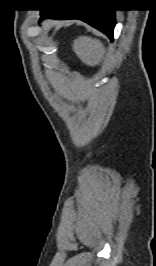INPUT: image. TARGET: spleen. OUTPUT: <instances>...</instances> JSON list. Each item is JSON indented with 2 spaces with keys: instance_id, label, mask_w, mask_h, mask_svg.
<instances>
[{
  "instance_id": "obj_1",
  "label": "spleen",
  "mask_w": 156,
  "mask_h": 266,
  "mask_svg": "<svg viewBox=\"0 0 156 266\" xmlns=\"http://www.w3.org/2000/svg\"><path fill=\"white\" fill-rule=\"evenodd\" d=\"M72 49L78 58L90 67L99 65L106 52L101 41L88 36H81L75 39Z\"/></svg>"
}]
</instances>
